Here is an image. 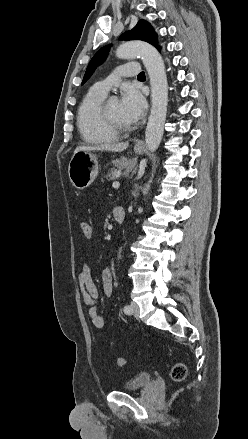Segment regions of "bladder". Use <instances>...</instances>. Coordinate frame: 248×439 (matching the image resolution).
Returning <instances> with one entry per match:
<instances>
[{
  "instance_id": "bladder-1",
  "label": "bladder",
  "mask_w": 248,
  "mask_h": 439,
  "mask_svg": "<svg viewBox=\"0 0 248 439\" xmlns=\"http://www.w3.org/2000/svg\"><path fill=\"white\" fill-rule=\"evenodd\" d=\"M153 375L149 372H140L132 377L130 380L126 381L122 385V390L124 391H136L140 390L152 383Z\"/></svg>"
}]
</instances>
